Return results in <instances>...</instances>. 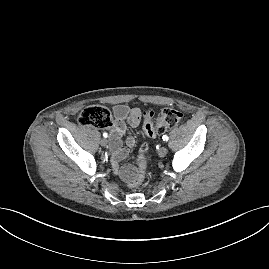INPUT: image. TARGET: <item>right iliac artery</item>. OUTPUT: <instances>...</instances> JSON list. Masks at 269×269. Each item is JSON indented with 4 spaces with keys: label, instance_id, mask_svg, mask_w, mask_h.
Here are the masks:
<instances>
[{
    "label": "right iliac artery",
    "instance_id": "obj_1",
    "mask_svg": "<svg viewBox=\"0 0 269 269\" xmlns=\"http://www.w3.org/2000/svg\"><path fill=\"white\" fill-rule=\"evenodd\" d=\"M103 137L104 138H107L108 137V134L106 132L103 133Z\"/></svg>",
    "mask_w": 269,
    "mask_h": 269
}]
</instances>
